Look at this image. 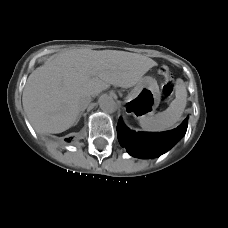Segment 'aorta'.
<instances>
[{
  "instance_id": "aorta-1",
  "label": "aorta",
  "mask_w": 228,
  "mask_h": 228,
  "mask_svg": "<svg viewBox=\"0 0 228 228\" xmlns=\"http://www.w3.org/2000/svg\"><path fill=\"white\" fill-rule=\"evenodd\" d=\"M100 108L107 113H113L117 109V103L115 100L109 95H102L99 100Z\"/></svg>"
}]
</instances>
